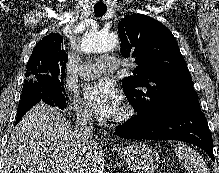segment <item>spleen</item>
<instances>
[{
    "mask_svg": "<svg viewBox=\"0 0 219 173\" xmlns=\"http://www.w3.org/2000/svg\"><path fill=\"white\" fill-rule=\"evenodd\" d=\"M175 153L188 173H209L199 154L185 144H177L175 147Z\"/></svg>",
    "mask_w": 219,
    "mask_h": 173,
    "instance_id": "spleen-1",
    "label": "spleen"
}]
</instances>
